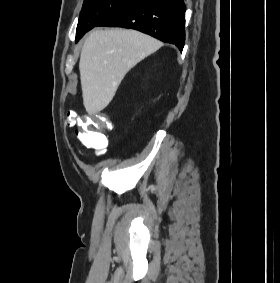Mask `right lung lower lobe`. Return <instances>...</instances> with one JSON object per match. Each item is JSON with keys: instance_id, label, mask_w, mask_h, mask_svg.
Wrapping results in <instances>:
<instances>
[{"instance_id": "right-lung-lower-lobe-1", "label": "right lung lower lobe", "mask_w": 280, "mask_h": 283, "mask_svg": "<svg viewBox=\"0 0 280 283\" xmlns=\"http://www.w3.org/2000/svg\"><path fill=\"white\" fill-rule=\"evenodd\" d=\"M184 0H134L98 26L131 28L149 34L182 51L185 44Z\"/></svg>"}]
</instances>
